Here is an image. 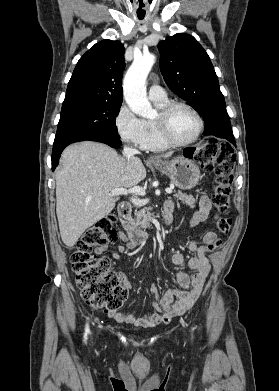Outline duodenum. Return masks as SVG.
Instances as JSON below:
<instances>
[{
	"instance_id": "1",
	"label": "duodenum",
	"mask_w": 279,
	"mask_h": 391,
	"mask_svg": "<svg viewBox=\"0 0 279 391\" xmlns=\"http://www.w3.org/2000/svg\"><path fill=\"white\" fill-rule=\"evenodd\" d=\"M172 208H163L162 220L166 224L172 221ZM119 220L124 228L129 231V240L133 245L140 244L148 239V234L131 225V205L128 202L120 203L118 207Z\"/></svg>"
}]
</instances>
